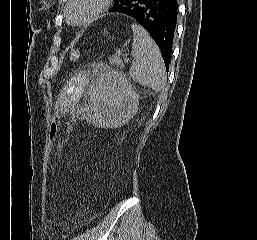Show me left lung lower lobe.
Segmentation results:
<instances>
[{
  "instance_id": "obj_1",
  "label": "left lung lower lobe",
  "mask_w": 257,
  "mask_h": 240,
  "mask_svg": "<svg viewBox=\"0 0 257 240\" xmlns=\"http://www.w3.org/2000/svg\"><path fill=\"white\" fill-rule=\"evenodd\" d=\"M177 0H123L109 12L127 15L144 27L161 50L169 70L177 19Z\"/></svg>"
}]
</instances>
